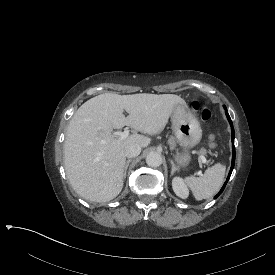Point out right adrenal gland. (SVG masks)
Here are the masks:
<instances>
[{"instance_id":"2a0ac1e0","label":"right adrenal gland","mask_w":275,"mask_h":275,"mask_svg":"<svg viewBox=\"0 0 275 275\" xmlns=\"http://www.w3.org/2000/svg\"><path fill=\"white\" fill-rule=\"evenodd\" d=\"M132 161V159H128L126 160L125 162V165H124V175H123V179L125 180L126 179V173H127V168L129 166V163Z\"/></svg>"}]
</instances>
